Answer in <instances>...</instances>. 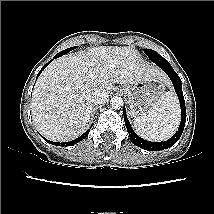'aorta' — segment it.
<instances>
[{
  "label": "aorta",
  "instance_id": "1",
  "mask_svg": "<svg viewBox=\"0 0 214 214\" xmlns=\"http://www.w3.org/2000/svg\"><path fill=\"white\" fill-rule=\"evenodd\" d=\"M124 102L121 97L113 96L110 101V105L113 109H120L123 106Z\"/></svg>",
  "mask_w": 214,
  "mask_h": 214
}]
</instances>
